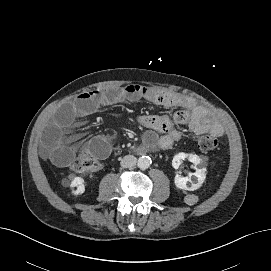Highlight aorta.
Returning <instances> with one entry per match:
<instances>
[{
	"instance_id": "aorta-1",
	"label": "aorta",
	"mask_w": 271,
	"mask_h": 271,
	"mask_svg": "<svg viewBox=\"0 0 271 271\" xmlns=\"http://www.w3.org/2000/svg\"><path fill=\"white\" fill-rule=\"evenodd\" d=\"M151 158L149 156H141L137 161V166L141 170H146L151 165Z\"/></svg>"
}]
</instances>
